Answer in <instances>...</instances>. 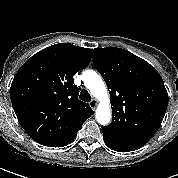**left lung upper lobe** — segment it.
I'll list each match as a JSON object with an SVG mask.
<instances>
[{"mask_svg": "<svg viewBox=\"0 0 178 178\" xmlns=\"http://www.w3.org/2000/svg\"><path fill=\"white\" fill-rule=\"evenodd\" d=\"M93 64L110 90L112 122L102 128L111 143L139 149L159 129L168 106V94L157 70L131 52L93 49Z\"/></svg>", "mask_w": 178, "mask_h": 178, "instance_id": "left-lung-upper-lobe-1", "label": "left lung upper lobe"}]
</instances>
